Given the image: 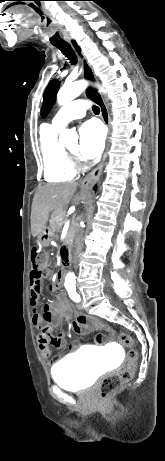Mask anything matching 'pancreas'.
I'll list each match as a JSON object with an SVG mask.
<instances>
[{
	"mask_svg": "<svg viewBox=\"0 0 165 461\" xmlns=\"http://www.w3.org/2000/svg\"><path fill=\"white\" fill-rule=\"evenodd\" d=\"M64 220H65V211L62 210V209L61 210H56L51 215V218L49 220L51 229L56 233L61 232ZM72 233H73V228L70 227L68 235H67V237L65 239V242H67V243L70 242V238H71Z\"/></svg>",
	"mask_w": 165,
	"mask_h": 461,
	"instance_id": "obj_1",
	"label": "pancreas"
}]
</instances>
